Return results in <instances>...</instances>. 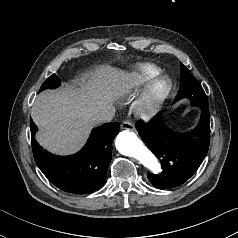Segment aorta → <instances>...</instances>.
I'll use <instances>...</instances> for the list:
<instances>
[{"instance_id":"762f6f07","label":"aorta","mask_w":238,"mask_h":238,"mask_svg":"<svg viewBox=\"0 0 238 238\" xmlns=\"http://www.w3.org/2000/svg\"><path fill=\"white\" fill-rule=\"evenodd\" d=\"M115 145L124 156L134 158L151 173L159 174L162 171L157 157L142 143L134 132L122 131L118 134Z\"/></svg>"}]
</instances>
